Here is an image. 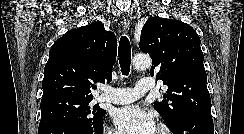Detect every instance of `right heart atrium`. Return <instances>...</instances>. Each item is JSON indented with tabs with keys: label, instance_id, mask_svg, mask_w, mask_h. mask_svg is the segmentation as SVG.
Returning <instances> with one entry per match:
<instances>
[{
	"label": "right heart atrium",
	"instance_id": "right-heart-atrium-1",
	"mask_svg": "<svg viewBox=\"0 0 244 134\" xmlns=\"http://www.w3.org/2000/svg\"><path fill=\"white\" fill-rule=\"evenodd\" d=\"M105 134H120V133L113 128H107Z\"/></svg>",
	"mask_w": 244,
	"mask_h": 134
}]
</instances>
